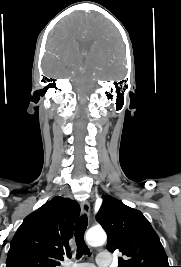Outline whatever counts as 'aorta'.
<instances>
[{
    "mask_svg": "<svg viewBox=\"0 0 181 267\" xmlns=\"http://www.w3.org/2000/svg\"><path fill=\"white\" fill-rule=\"evenodd\" d=\"M106 240V233L102 229H90L86 233V241L90 246H101L106 242Z\"/></svg>",
    "mask_w": 181,
    "mask_h": 267,
    "instance_id": "obj_1",
    "label": "aorta"
}]
</instances>
